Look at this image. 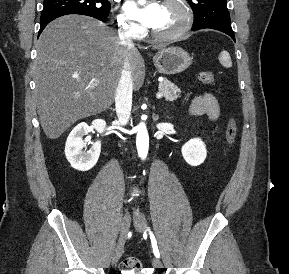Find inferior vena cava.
Instances as JSON below:
<instances>
[{
    "mask_svg": "<svg viewBox=\"0 0 289 274\" xmlns=\"http://www.w3.org/2000/svg\"><path fill=\"white\" fill-rule=\"evenodd\" d=\"M120 41L124 46H132V36L128 28H120L118 30ZM132 92L133 82L131 70L129 68V61L126 58L124 67L121 72L120 80L118 82L116 95H115V108L120 124H126L129 120L131 107H132Z\"/></svg>",
    "mask_w": 289,
    "mask_h": 274,
    "instance_id": "602c4592",
    "label": "inferior vena cava"
}]
</instances>
